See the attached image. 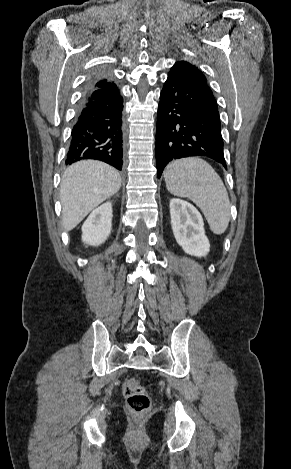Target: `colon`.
Wrapping results in <instances>:
<instances>
[{"label":"colon","mask_w":291,"mask_h":469,"mask_svg":"<svg viewBox=\"0 0 291 469\" xmlns=\"http://www.w3.org/2000/svg\"><path fill=\"white\" fill-rule=\"evenodd\" d=\"M122 392L127 407L132 413L143 415L150 410L151 398L145 387L137 379H126L122 385Z\"/></svg>","instance_id":"obj_1"}]
</instances>
